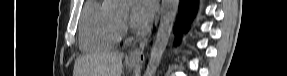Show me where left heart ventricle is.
<instances>
[{
    "mask_svg": "<svg viewBox=\"0 0 287 76\" xmlns=\"http://www.w3.org/2000/svg\"><path fill=\"white\" fill-rule=\"evenodd\" d=\"M121 19H124L126 17V14H122L119 16Z\"/></svg>",
    "mask_w": 287,
    "mask_h": 76,
    "instance_id": "1",
    "label": "left heart ventricle"
}]
</instances>
